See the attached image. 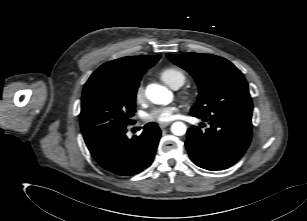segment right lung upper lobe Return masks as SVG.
Here are the masks:
<instances>
[{"label":"right lung upper lobe","mask_w":307,"mask_h":221,"mask_svg":"<svg viewBox=\"0 0 307 221\" xmlns=\"http://www.w3.org/2000/svg\"><path fill=\"white\" fill-rule=\"evenodd\" d=\"M156 56H128L103 64L89 78V80L106 77H124L131 81L141 79L145 71L152 67L159 59Z\"/></svg>","instance_id":"obj_1"}]
</instances>
